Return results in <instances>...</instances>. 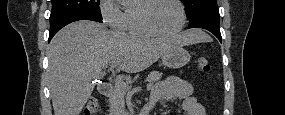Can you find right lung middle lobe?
Segmentation results:
<instances>
[{"mask_svg": "<svg viewBox=\"0 0 285 115\" xmlns=\"http://www.w3.org/2000/svg\"><path fill=\"white\" fill-rule=\"evenodd\" d=\"M50 24L70 16H85L102 21L99 0H51Z\"/></svg>", "mask_w": 285, "mask_h": 115, "instance_id": "1", "label": "right lung middle lobe"}]
</instances>
